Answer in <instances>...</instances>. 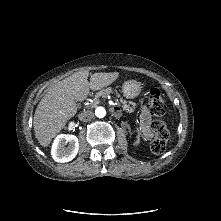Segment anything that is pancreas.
Masks as SVG:
<instances>
[{"mask_svg": "<svg viewBox=\"0 0 221 221\" xmlns=\"http://www.w3.org/2000/svg\"><path fill=\"white\" fill-rule=\"evenodd\" d=\"M110 93H112V89L111 88H107L105 90L100 91L99 93L95 94V99L96 100H101L102 97H106L107 95H109ZM121 103H122V107L123 109L128 112L131 113L134 111L136 104L133 102H129L126 100H122L121 99Z\"/></svg>", "mask_w": 221, "mask_h": 221, "instance_id": "1", "label": "pancreas"}]
</instances>
